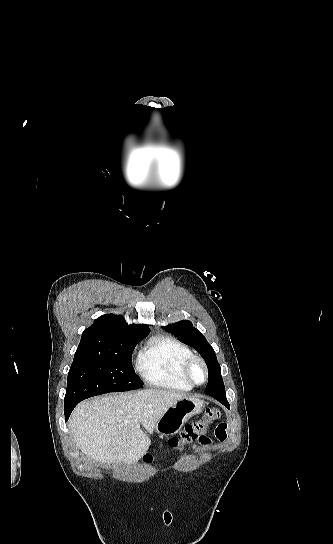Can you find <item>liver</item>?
<instances>
[{"instance_id":"1","label":"liver","mask_w":333,"mask_h":544,"mask_svg":"<svg viewBox=\"0 0 333 544\" xmlns=\"http://www.w3.org/2000/svg\"><path fill=\"white\" fill-rule=\"evenodd\" d=\"M184 393L147 389L106 395L79 404L69 419L77 447L101 463H135L149 449L162 415ZM140 424L145 428L144 432Z\"/></svg>"}]
</instances>
